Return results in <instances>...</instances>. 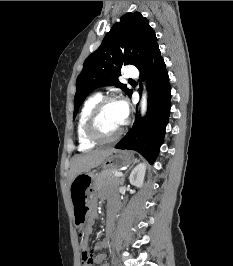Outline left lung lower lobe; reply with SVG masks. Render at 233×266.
I'll list each match as a JSON object with an SVG mask.
<instances>
[{
    "label": "left lung lower lobe",
    "mask_w": 233,
    "mask_h": 266,
    "mask_svg": "<svg viewBox=\"0 0 233 266\" xmlns=\"http://www.w3.org/2000/svg\"><path fill=\"white\" fill-rule=\"evenodd\" d=\"M139 69L145 73L148 84L147 114L144 119L136 120L115 148L136 150L152 164L163 143L171 107L168 72L158 46L147 55Z\"/></svg>",
    "instance_id": "left-lung-lower-lobe-1"
}]
</instances>
